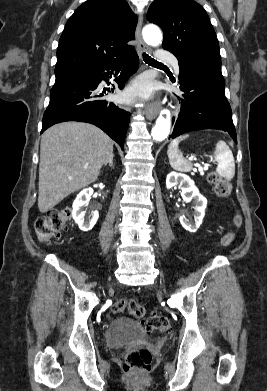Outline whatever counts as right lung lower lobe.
Masks as SVG:
<instances>
[{
	"label": "right lung lower lobe",
	"mask_w": 267,
	"mask_h": 391,
	"mask_svg": "<svg viewBox=\"0 0 267 391\" xmlns=\"http://www.w3.org/2000/svg\"><path fill=\"white\" fill-rule=\"evenodd\" d=\"M124 62L116 83L123 89L130 75L139 67L135 50L126 57L107 64H100L76 74L65 81L55 83L50 93V103L43 116L42 132L50 126L64 121H81L94 124L106 132L123 149L130 113L108 102L102 97L106 89L98 88L102 80ZM111 89L112 92H114ZM110 92V89L107 90Z\"/></svg>",
	"instance_id": "obj_1"
}]
</instances>
